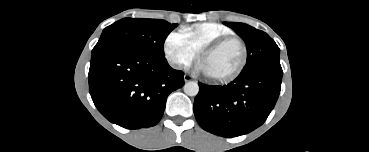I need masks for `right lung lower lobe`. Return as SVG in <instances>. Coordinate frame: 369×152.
<instances>
[{
    "mask_svg": "<svg viewBox=\"0 0 369 152\" xmlns=\"http://www.w3.org/2000/svg\"><path fill=\"white\" fill-rule=\"evenodd\" d=\"M89 91L110 122L127 129L156 125L168 95L184 85V73L167 60L118 49L91 57Z\"/></svg>",
    "mask_w": 369,
    "mask_h": 152,
    "instance_id": "98d812e1",
    "label": "right lung lower lobe"
}]
</instances>
